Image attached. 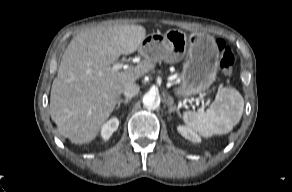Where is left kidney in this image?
<instances>
[{"label": "left kidney", "mask_w": 292, "mask_h": 192, "mask_svg": "<svg viewBox=\"0 0 292 192\" xmlns=\"http://www.w3.org/2000/svg\"><path fill=\"white\" fill-rule=\"evenodd\" d=\"M177 130L184 138H186L192 142H199L200 141V137L195 132H193L190 128L179 125L177 127Z\"/></svg>", "instance_id": "obj_1"}]
</instances>
